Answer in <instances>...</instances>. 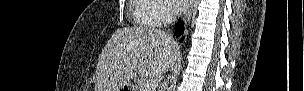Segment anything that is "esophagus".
Instances as JSON below:
<instances>
[{
	"mask_svg": "<svg viewBox=\"0 0 304 91\" xmlns=\"http://www.w3.org/2000/svg\"><path fill=\"white\" fill-rule=\"evenodd\" d=\"M196 3H197V0H194L192 6L190 7L189 11L187 12V14L184 18V21L186 24H188L191 20Z\"/></svg>",
	"mask_w": 304,
	"mask_h": 91,
	"instance_id": "1",
	"label": "esophagus"
}]
</instances>
